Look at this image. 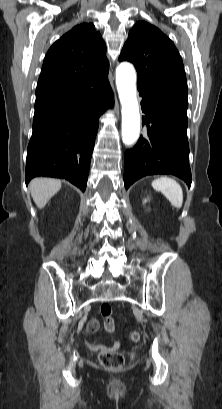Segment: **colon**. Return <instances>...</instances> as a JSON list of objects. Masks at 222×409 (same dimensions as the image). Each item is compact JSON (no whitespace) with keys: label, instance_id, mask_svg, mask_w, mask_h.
<instances>
[{"label":"colon","instance_id":"obj_1","mask_svg":"<svg viewBox=\"0 0 222 409\" xmlns=\"http://www.w3.org/2000/svg\"><path fill=\"white\" fill-rule=\"evenodd\" d=\"M101 315L105 318V329L108 332H112L114 330V322L111 318L112 315V307L108 303H104L101 305L100 308ZM129 339L132 342L140 341V334L136 331H133L129 334ZM99 360L101 364L109 370H119L125 364L124 355L120 352L114 351H103L99 355Z\"/></svg>","mask_w":222,"mask_h":409}]
</instances>
